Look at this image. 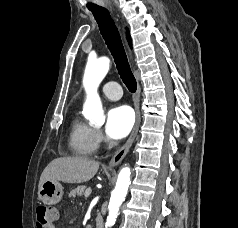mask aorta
I'll return each mask as SVG.
<instances>
[{"mask_svg":"<svg viewBox=\"0 0 238 228\" xmlns=\"http://www.w3.org/2000/svg\"><path fill=\"white\" fill-rule=\"evenodd\" d=\"M110 60L107 57H101L96 60L88 61L83 77V86L86 91V100L83 106L84 116L92 123L103 124L105 121L102 103L97 92V89L109 71ZM130 168L123 167L118 174L116 186L111 193L108 216L105 223V228L112 227L117 219L119 208L125 197L130 180Z\"/></svg>","mask_w":238,"mask_h":228,"instance_id":"obj_1","label":"aorta"}]
</instances>
